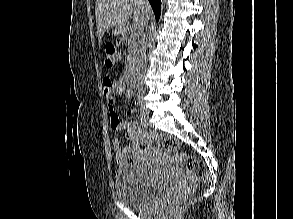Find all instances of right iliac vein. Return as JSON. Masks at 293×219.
Returning a JSON list of instances; mask_svg holds the SVG:
<instances>
[{
    "instance_id": "obj_1",
    "label": "right iliac vein",
    "mask_w": 293,
    "mask_h": 219,
    "mask_svg": "<svg viewBox=\"0 0 293 219\" xmlns=\"http://www.w3.org/2000/svg\"><path fill=\"white\" fill-rule=\"evenodd\" d=\"M140 113H141V116L145 120L149 118V110L146 108V106L143 103L140 104Z\"/></svg>"
}]
</instances>
